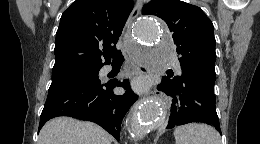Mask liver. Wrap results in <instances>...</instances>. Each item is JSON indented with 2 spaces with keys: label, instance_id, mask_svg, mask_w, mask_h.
<instances>
[{
  "label": "liver",
  "instance_id": "6515ba94",
  "mask_svg": "<svg viewBox=\"0 0 260 144\" xmlns=\"http://www.w3.org/2000/svg\"><path fill=\"white\" fill-rule=\"evenodd\" d=\"M112 137L100 126L56 117L48 121L39 133L38 144H111Z\"/></svg>",
  "mask_w": 260,
  "mask_h": 144
}]
</instances>
